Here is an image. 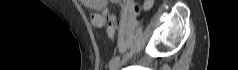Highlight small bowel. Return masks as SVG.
<instances>
[{
  "label": "small bowel",
  "instance_id": "obj_1",
  "mask_svg": "<svg viewBox=\"0 0 238 70\" xmlns=\"http://www.w3.org/2000/svg\"><path fill=\"white\" fill-rule=\"evenodd\" d=\"M82 4L92 11L91 23L95 27H102L109 19H117L114 14L106 10L107 0H81ZM113 3L122 4L120 0H112Z\"/></svg>",
  "mask_w": 238,
  "mask_h": 70
}]
</instances>
